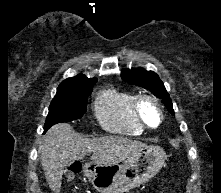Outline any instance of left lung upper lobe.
<instances>
[{
  "label": "left lung upper lobe",
  "mask_w": 221,
  "mask_h": 193,
  "mask_svg": "<svg viewBox=\"0 0 221 193\" xmlns=\"http://www.w3.org/2000/svg\"><path fill=\"white\" fill-rule=\"evenodd\" d=\"M121 78L131 84L143 87L151 91L156 97L162 99L168 111L174 115L172 101L167 93L163 82L153 71H146L143 68L125 69L121 74Z\"/></svg>",
  "instance_id": "5c2ea615"
}]
</instances>
